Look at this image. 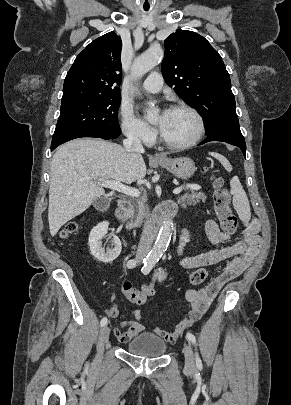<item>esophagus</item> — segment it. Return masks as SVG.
Instances as JSON below:
<instances>
[{
	"label": "esophagus",
	"instance_id": "obj_1",
	"mask_svg": "<svg viewBox=\"0 0 291 405\" xmlns=\"http://www.w3.org/2000/svg\"><path fill=\"white\" fill-rule=\"evenodd\" d=\"M153 158H154V159H162V155H160V154H158V153H155V154L153 155Z\"/></svg>",
	"mask_w": 291,
	"mask_h": 405
}]
</instances>
